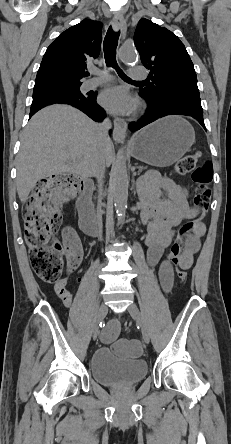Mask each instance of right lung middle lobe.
Wrapping results in <instances>:
<instances>
[{
	"label": "right lung middle lobe",
	"mask_w": 231,
	"mask_h": 444,
	"mask_svg": "<svg viewBox=\"0 0 231 444\" xmlns=\"http://www.w3.org/2000/svg\"><path fill=\"white\" fill-rule=\"evenodd\" d=\"M81 84H56L43 90H33V98L46 94H59L76 99H82L90 95H83L79 89Z\"/></svg>",
	"instance_id": "right-lung-middle-lobe-1"
}]
</instances>
